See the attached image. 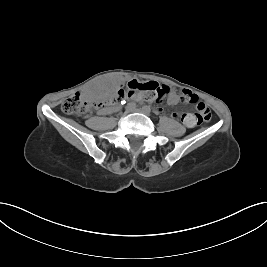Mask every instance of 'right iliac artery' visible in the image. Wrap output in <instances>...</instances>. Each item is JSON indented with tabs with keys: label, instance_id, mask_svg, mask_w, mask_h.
<instances>
[{
	"label": "right iliac artery",
	"instance_id": "obj_1",
	"mask_svg": "<svg viewBox=\"0 0 267 267\" xmlns=\"http://www.w3.org/2000/svg\"><path fill=\"white\" fill-rule=\"evenodd\" d=\"M136 108V104L135 103H129L127 106H126V110H133Z\"/></svg>",
	"mask_w": 267,
	"mask_h": 267
}]
</instances>
